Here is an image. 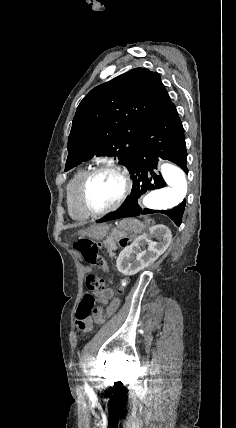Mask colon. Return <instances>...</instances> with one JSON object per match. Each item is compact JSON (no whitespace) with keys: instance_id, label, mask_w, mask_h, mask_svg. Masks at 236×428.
<instances>
[{"instance_id":"colon-1","label":"colon","mask_w":236,"mask_h":428,"mask_svg":"<svg viewBox=\"0 0 236 428\" xmlns=\"http://www.w3.org/2000/svg\"><path fill=\"white\" fill-rule=\"evenodd\" d=\"M127 243L128 239L125 237L119 240L120 246H126ZM99 245L100 244L95 240L89 238H78L74 242V249L83 257L87 264L107 271V262L105 258L99 254ZM128 283V279L121 280L118 294L113 298L105 312L99 316L100 322H103L116 312L120 305L121 296ZM85 284L89 292L84 295L76 312V324L80 329L86 328L91 315L96 312L97 309H95V294L103 290L105 283L104 279L100 277L88 275L86 277Z\"/></svg>"}]
</instances>
